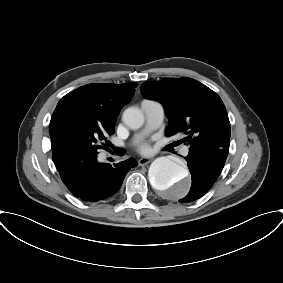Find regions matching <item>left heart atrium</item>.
<instances>
[{
    "label": "left heart atrium",
    "mask_w": 283,
    "mask_h": 283,
    "mask_svg": "<svg viewBox=\"0 0 283 283\" xmlns=\"http://www.w3.org/2000/svg\"><path fill=\"white\" fill-rule=\"evenodd\" d=\"M139 150L144 153L147 154L151 151L150 146L148 143H143L139 146Z\"/></svg>",
    "instance_id": "obj_1"
}]
</instances>
